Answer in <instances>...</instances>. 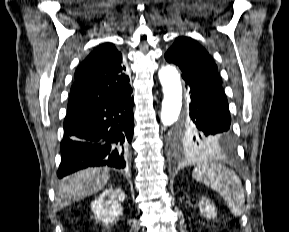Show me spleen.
<instances>
[{"label":"spleen","mask_w":289,"mask_h":232,"mask_svg":"<svg viewBox=\"0 0 289 232\" xmlns=\"http://www.w3.org/2000/svg\"><path fill=\"white\" fill-rule=\"evenodd\" d=\"M192 175L197 181L218 192L233 215H242L245 206L244 190L234 171L219 162L202 161Z\"/></svg>","instance_id":"obj_1"}]
</instances>
